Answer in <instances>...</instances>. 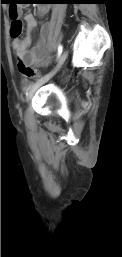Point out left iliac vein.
Segmentation results:
<instances>
[{"mask_svg":"<svg viewBox=\"0 0 122 257\" xmlns=\"http://www.w3.org/2000/svg\"><path fill=\"white\" fill-rule=\"evenodd\" d=\"M67 56H68V52L64 51L60 55V57L58 59V62L56 64V66L54 67V69L52 71H50L48 74H46L43 77H41L40 79H38L34 84H32L30 86V88L26 92V99L27 100H30L33 97V95L35 94V92L39 89V87H41L43 84H45L47 81H49L56 74V72L64 64Z\"/></svg>","mask_w":122,"mask_h":257,"instance_id":"4c4485c4","label":"left iliac vein"}]
</instances>
